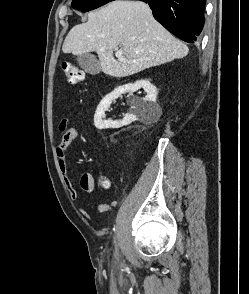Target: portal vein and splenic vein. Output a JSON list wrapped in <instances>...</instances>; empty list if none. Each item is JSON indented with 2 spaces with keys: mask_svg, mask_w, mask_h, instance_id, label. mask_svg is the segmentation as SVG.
<instances>
[{
  "mask_svg": "<svg viewBox=\"0 0 249 294\" xmlns=\"http://www.w3.org/2000/svg\"><path fill=\"white\" fill-rule=\"evenodd\" d=\"M115 56L119 60H124L123 57H122V51L120 49H116Z\"/></svg>",
  "mask_w": 249,
  "mask_h": 294,
  "instance_id": "obj_1",
  "label": "portal vein and splenic vein"
}]
</instances>
